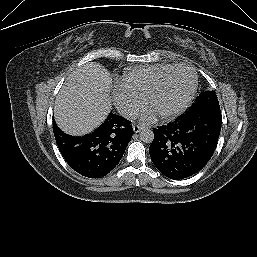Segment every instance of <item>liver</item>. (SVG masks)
I'll list each match as a JSON object with an SVG mask.
<instances>
[{"label": "liver", "instance_id": "6515ba94", "mask_svg": "<svg viewBox=\"0 0 257 257\" xmlns=\"http://www.w3.org/2000/svg\"><path fill=\"white\" fill-rule=\"evenodd\" d=\"M112 78L99 63L88 62L73 71L57 95L54 115L65 133L81 136L92 132L111 111Z\"/></svg>", "mask_w": 257, "mask_h": 257}]
</instances>
